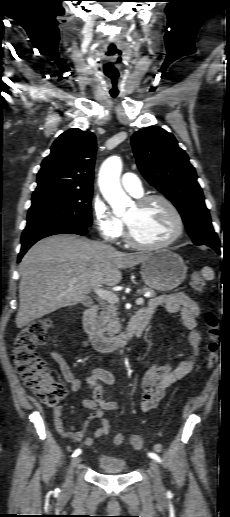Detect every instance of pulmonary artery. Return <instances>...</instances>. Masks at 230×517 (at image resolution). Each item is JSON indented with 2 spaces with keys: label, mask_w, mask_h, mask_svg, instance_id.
Returning <instances> with one entry per match:
<instances>
[{
  "label": "pulmonary artery",
  "mask_w": 230,
  "mask_h": 517,
  "mask_svg": "<svg viewBox=\"0 0 230 517\" xmlns=\"http://www.w3.org/2000/svg\"><path fill=\"white\" fill-rule=\"evenodd\" d=\"M121 184L134 197H139L143 193L141 181L133 173H125L121 178Z\"/></svg>",
  "instance_id": "1"
}]
</instances>
